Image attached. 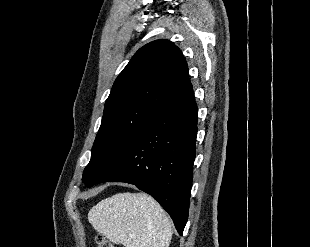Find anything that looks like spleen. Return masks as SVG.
<instances>
[{
  "label": "spleen",
  "mask_w": 310,
  "mask_h": 247,
  "mask_svg": "<svg viewBox=\"0 0 310 247\" xmlns=\"http://www.w3.org/2000/svg\"><path fill=\"white\" fill-rule=\"evenodd\" d=\"M93 228L125 247H169L172 226L162 207L145 193H118L88 213Z\"/></svg>",
  "instance_id": "3e777b00"
}]
</instances>
